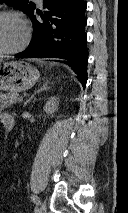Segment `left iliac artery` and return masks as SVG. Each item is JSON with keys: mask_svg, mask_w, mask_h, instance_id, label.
Instances as JSON below:
<instances>
[{"mask_svg": "<svg viewBox=\"0 0 128 213\" xmlns=\"http://www.w3.org/2000/svg\"><path fill=\"white\" fill-rule=\"evenodd\" d=\"M31 200L37 205H39V203H40V200H39L38 196H36V195H32Z\"/></svg>", "mask_w": 128, "mask_h": 213, "instance_id": "1", "label": "left iliac artery"}]
</instances>
